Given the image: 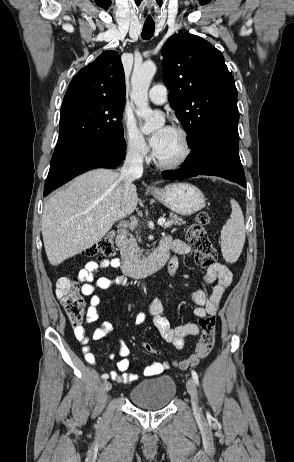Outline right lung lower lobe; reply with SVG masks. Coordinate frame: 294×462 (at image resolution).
Here are the masks:
<instances>
[{
  "label": "right lung lower lobe",
  "mask_w": 294,
  "mask_h": 462,
  "mask_svg": "<svg viewBox=\"0 0 294 462\" xmlns=\"http://www.w3.org/2000/svg\"><path fill=\"white\" fill-rule=\"evenodd\" d=\"M123 137L72 140L57 145L45 182L44 196L74 177L93 168H115L124 159Z\"/></svg>",
  "instance_id": "right-lung-lower-lobe-1"
}]
</instances>
